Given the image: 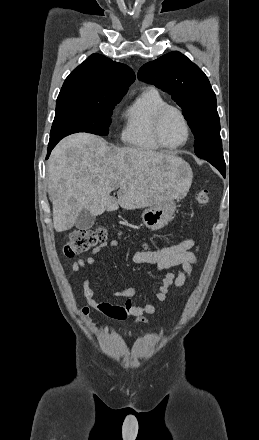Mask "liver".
Here are the masks:
<instances>
[{"instance_id": "obj_1", "label": "liver", "mask_w": 259, "mask_h": 440, "mask_svg": "<svg viewBox=\"0 0 259 440\" xmlns=\"http://www.w3.org/2000/svg\"><path fill=\"white\" fill-rule=\"evenodd\" d=\"M56 232L73 227L82 209L94 216L120 207L154 206L184 196L189 165L163 152L109 146L95 135L76 133L54 148L47 166ZM117 192L118 199L111 197Z\"/></svg>"}]
</instances>
